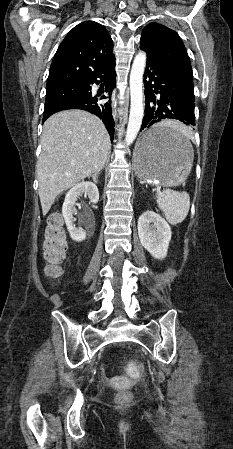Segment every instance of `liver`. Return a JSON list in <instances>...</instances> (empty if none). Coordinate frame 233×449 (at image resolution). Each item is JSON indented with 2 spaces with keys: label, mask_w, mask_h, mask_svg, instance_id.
<instances>
[{
  "label": "liver",
  "mask_w": 233,
  "mask_h": 449,
  "mask_svg": "<svg viewBox=\"0 0 233 449\" xmlns=\"http://www.w3.org/2000/svg\"><path fill=\"white\" fill-rule=\"evenodd\" d=\"M163 123L183 127L175 121ZM41 146L36 174L45 215L61 192L103 167L110 138L103 122L95 115L82 110H66L45 121Z\"/></svg>",
  "instance_id": "1"
}]
</instances>
